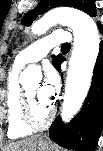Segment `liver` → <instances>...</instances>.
I'll return each mask as SVG.
<instances>
[{"instance_id": "liver-1", "label": "liver", "mask_w": 103, "mask_h": 151, "mask_svg": "<svg viewBox=\"0 0 103 151\" xmlns=\"http://www.w3.org/2000/svg\"><path fill=\"white\" fill-rule=\"evenodd\" d=\"M38 137L33 136L17 142H12L1 148V151H35Z\"/></svg>"}]
</instances>
